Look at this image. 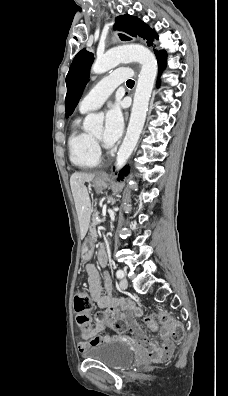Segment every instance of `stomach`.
Returning a JSON list of instances; mask_svg holds the SVG:
<instances>
[{"instance_id":"stomach-1","label":"stomach","mask_w":228,"mask_h":396,"mask_svg":"<svg viewBox=\"0 0 228 396\" xmlns=\"http://www.w3.org/2000/svg\"><path fill=\"white\" fill-rule=\"evenodd\" d=\"M108 178L106 176H99L94 180V188L97 192H101L107 187ZM94 237L88 236L81 247V255L83 260H89L93 254L94 250Z\"/></svg>"}]
</instances>
